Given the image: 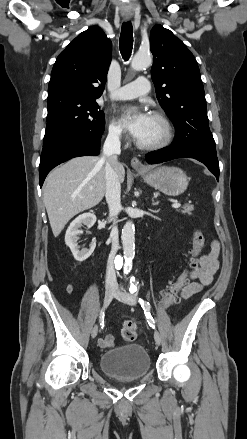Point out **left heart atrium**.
Masks as SVG:
<instances>
[{
	"mask_svg": "<svg viewBox=\"0 0 247 439\" xmlns=\"http://www.w3.org/2000/svg\"><path fill=\"white\" fill-rule=\"evenodd\" d=\"M150 115L144 111H136L134 109H126L123 113V122L129 133L139 140L144 134Z\"/></svg>",
	"mask_w": 247,
	"mask_h": 439,
	"instance_id": "1",
	"label": "left heart atrium"
}]
</instances>
